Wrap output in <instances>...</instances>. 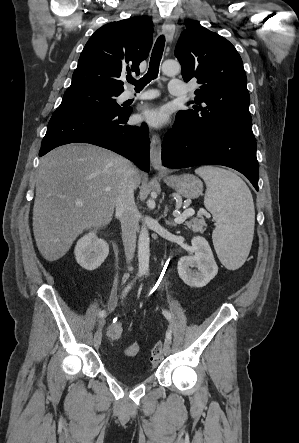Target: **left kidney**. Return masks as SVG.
Instances as JSON below:
<instances>
[{"instance_id":"left-kidney-1","label":"left kidney","mask_w":299,"mask_h":443,"mask_svg":"<svg viewBox=\"0 0 299 443\" xmlns=\"http://www.w3.org/2000/svg\"><path fill=\"white\" fill-rule=\"evenodd\" d=\"M191 243L195 255L180 258L177 269L185 284L200 288L206 286L217 275L218 266L205 238L193 237ZM190 267H196L198 271L191 270Z\"/></svg>"}]
</instances>
